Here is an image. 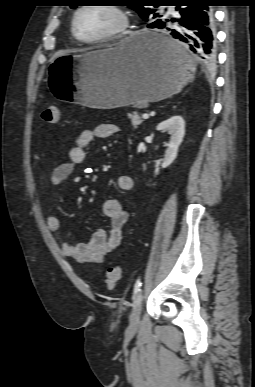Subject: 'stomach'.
Segmentation results:
<instances>
[{"label": "stomach", "mask_w": 255, "mask_h": 387, "mask_svg": "<svg viewBox=\"0 0 255 387\" xmlns=\"http://www.w3.org/2000/svg\"><path fill=\"white\" fill-rule=\"evenodd\" d=\"M147 34L142 30L109 48L54 58L48 84L59 103L111 109L178 93L194 77L193 62L180 46L182 62L167 59L145 43Z\"/></svg>", "instance_id": "1"}]
</instances>
